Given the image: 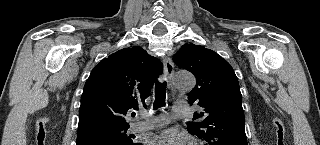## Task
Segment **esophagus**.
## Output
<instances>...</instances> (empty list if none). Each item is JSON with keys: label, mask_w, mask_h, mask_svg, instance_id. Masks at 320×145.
Masks as SVG:
<instances>
[{"label": "esophagus", "mask_w": 320, "mask_h": 145, "mask_svg": "<svg viewBox=\"0 0 320 145\" xmlns=\"http://www.w3.org/2000/svg\"><path fill=\"white\" fill-rule=\"evenodd\" d=\"M163 65H164L165 76L168 79H171V77H172V75L174 73V66H173V63H172L171 59L168 58V57H165L163 59Z\"/></svg>", "instance_id": "obj_1"}]
</instances>
